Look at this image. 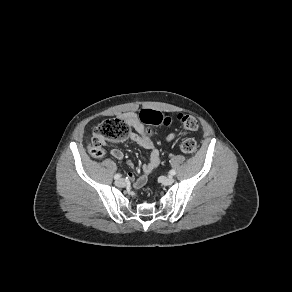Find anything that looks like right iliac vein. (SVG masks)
<instances>
[{
	"instance_id": "1",
	"label": "right iliac vein",
	"mask_w": 292,
	"mask_h": 292,
	"mask_svg": "<svg viewBox=\"0 0 292 292\" xmlns=\"http://www.w3.org/2000/svg\"><path fill=\"white\" fill-rule=\"evenodd\" d=\"M115 185L118 187H123L125 185L124 179L120 178L115 181Z\"/></svg>"
}]
</instances>
